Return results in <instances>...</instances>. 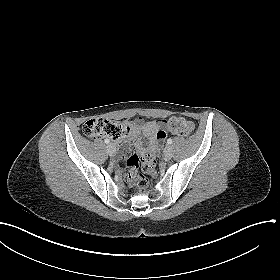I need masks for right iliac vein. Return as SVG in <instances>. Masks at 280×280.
Here are the masks:
<instances>
[{"label": "right iliac vein", "mask_w": 280, "mask_h": 280, "mask_svg": "<svg viewBox=\"0 0 280 280\" xmlns=\"http://www.w3.org/2000/svg\"><path fill=\"white\" fill-rule=\"evenodd\" d=\"M107 152L110 156H114L115 155V152H116V149H115V146L113 144H109L107 146Z\"/></svg>", "instance_id": "63e3f726"}]
</instances>
